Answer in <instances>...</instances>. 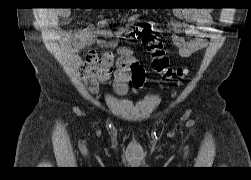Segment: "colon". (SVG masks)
Masks as SVG:
<instances>
[{
	"label": "colon",
	"instance_id": "5ec220e1",
	"mask_svg": "<svg viewBox=\"0 0 251 180\" xmlns=\"http://www.w3.org/2000/svg\"><path fill=\"white\" fill-rule=\"evenodd\" d=\"M132 34L145 46L152 58L151 66L156 72L162 74L165 78H170L174 73L179 78L183 77L185 70L183 68L172 69L165 56L162 43L151 30L146 27L135 26Z\"/></svg>",
	"mask_w": 251,
	"mask_h": 180
}]
</instances>
